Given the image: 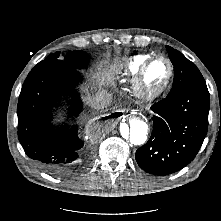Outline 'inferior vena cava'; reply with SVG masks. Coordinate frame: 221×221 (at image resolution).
Returning a JSON list of instances; mask_svg holds the SVG:
<instances>
[{
    "label": "inferior vena cava",
    "mask_w": 221,
    "mask_h": 221,
    "mask_svg": "<svg viewBox=\"0 0 221 221\" xmlns=\"http://www.w3.org/2000/svg\"><path fill=\"white\" fill-rule=\"evenodd\" d=\"M112 102V95L107 92H102L96 95L89 103L94 109L107 108Z\"/></svg>",
    "instance_id": "602c4592"
}]
</instances>
